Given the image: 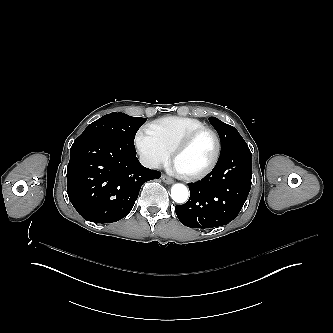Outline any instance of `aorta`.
I'll list each match as a JSON object with an SVG mask.
<instances>
[{
	"label": "aorta",
	"mask_w": 333,
	"mask_h": 333,
	"mask_svg": "<svg viewBox=\"0 0 333 333\" xmlns=\"http://www.w3.org/2000/svg\"><path fill=\"white\" fill-rule=\"evenodd\" d=\"M171 198L176 203H185L189 198L188 188L181 183H176L171 187Z\"/></svg>",
	"instance_id": "obj_1"
}]
</instances>
